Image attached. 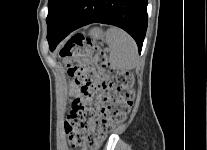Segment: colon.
<instances>
[{
    "label": "colon",
    "mask_w": 207,
    "mask_h": 150,
    "mask_svg": "<svg viewBox=\"0 0 207 150\" xmlns=\"http://www.w3.org/2000/svg\"><path fill=\"white\" fill-rule=\"evenodd\" d=\"M59 56L82 94L72 103L65 133L73 148L97 150L130 111L134 99L132 75L114 67L105 52L83 35L69 40Z\"/></svg>",
    "instance_id": "1"
}]
</instances>
